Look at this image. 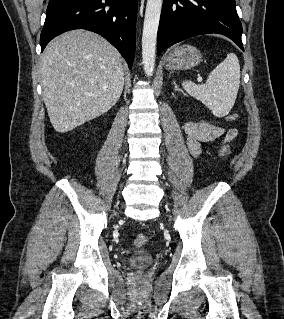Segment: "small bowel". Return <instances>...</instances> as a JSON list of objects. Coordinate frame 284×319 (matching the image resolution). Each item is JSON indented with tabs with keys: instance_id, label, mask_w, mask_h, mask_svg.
Listing matches in <instances>:
<instances>
[{
	"instance_id": "obj_1",
	"label": "small bowel",
	"mask_w": 284,
	"mask_h": 319,
	"mask_svg": "<svg viewBox=\"0 0 284 319\" xmlns=\"http://www.w3.org/2000/svg\"><path fill=\"white\" fill-rule=\"evenodd\" d=\"M186 144L190 153L197 157L202 152V144L223 137L224 142L232 141L238 134L236 129L226 130L220 125L206 120L189 121L184 125Z\"/></svg>"
}]
</instances>
